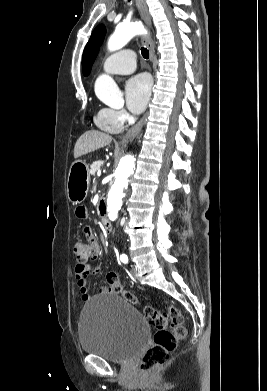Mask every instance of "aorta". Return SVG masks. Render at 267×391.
<instances>
[{
	"mask_svg": "<svg viewBox=\"0 0 267 391\" xmlns=\"http://www.w3.org/2000/svg\"><path fill=\"white\" fill-rule=\"evenodd\" d=\"M144 33L145 29L139 22L121 23L108 39V51H117L124 47L134 36ZM95 94L99 100L109 106L121 105L123 103L122 92L115 81L107 75H101L96 80ZM134 168L135 158L128 154L120 159L115 170V180L107 195V211L112 221L118 218V212L122 207L123 198Z\"/></svg>",
	"mask_w": 267,
	"mask_h": 391,
	"instance_id": "1",
	"label": "aorta"
}]
</instances>
